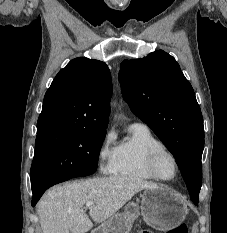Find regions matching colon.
Instances as JSON below:
<instances>
[{
    "mask_svg": "<svg viewBox=\"0 0 227 233\" xmlns=\"http://www.w3.org/2000/svg\"><path fill=\"white\" fill-rule=\"evenodd\" d=\"M140 233H153L152 231L150 230H142ZM166 233H188L187 231V227L186 225H179L169 231H167Z\"/></svg>",
    "mask_w": 227,
    "mask_h": 233,
    "instance_id": "colon-1",
    "label": "colon"
}]
</instances>
